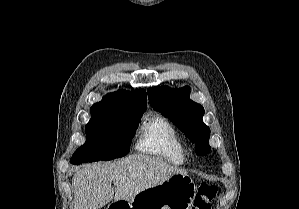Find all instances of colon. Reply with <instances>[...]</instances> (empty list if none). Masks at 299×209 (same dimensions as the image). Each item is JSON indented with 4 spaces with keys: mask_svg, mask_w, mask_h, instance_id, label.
Returning a JSON list of instances; mask_svg holds the SVG:
<instances>
[{
    "mask_svg": "<svg viewBox=\"0 0 299 209\" xmlns=\"http://www.w3.org/2000/svg\"><path fill=\"white\" fill-rule=\"evenodd\" d=\"M218 194V187L210 183H202L198 187L197 195L191 209H211L212 201Z\"/></svg>",
    "mask_w": 299,
    "mask_h": 209,
    "instance_id": "1",
    "label": "colon"
}]
</instances>
